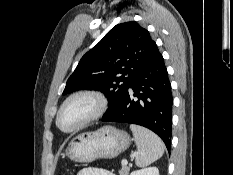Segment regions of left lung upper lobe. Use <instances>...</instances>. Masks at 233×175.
Here are the masks:
<instances>
[{
  "instance_id": "left-lung-upper-lobe-1",
  "label": "left lung upper lobe",
  "mask_w": 233,
  "mask_h": 175,
  "mask_svg": "<svg viewBox=\"0 0 233 175\" xmlns=\"http://www.w3.org/2000/svg\"><path fill=\"white\" fill-rule=\"evenodd\" d=\"M156 47L149 32L137 22L114 26L81 58L63 94L81 89L103 92L109 101L103 115L106 117L119 107L136 74Z\"/></svg>"
}]
</instances>
